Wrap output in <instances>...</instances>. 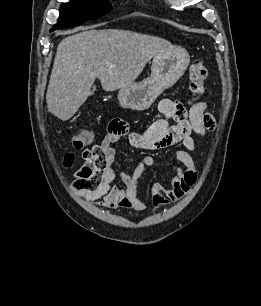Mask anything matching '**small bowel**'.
Masks as SVG:
<instances>
[{"mask_svg":"<svg viewBox=\"0 0 261 306\" xmlns=\"http://www.w3.org/2000/svg\"><path fill=\"white\" fill-rule=\"evenodd\" d=\"M159 112L160 118L140 132H131L128 124L122 120H113L109 124L108 132L100 145L106 154L105 166L98 169L89 158L83 157L85 163L77 171L94 185L91 189L82 190L87 201L101 200L99 206L109 210L126 208L141 212L146 209L145 203L137 194L138 184L144 171L153 166L155 160L150 155L142 157L132 173H120V182H117L113 167L116 149L112 145L123 137L128 138L132 147L141 150L165 149L177 144L183 147L173 150L183 168H176L170 187L166 188L160 183H154L151 187V198L155 206L178 202L189 192L196 181V144L193 134L204 137L208 131L214 129L215 120L207 111L204 101L192 104L187 110L179 101L163 99L159 103ZM170 121L175 124L171 125Z\"/></svg>","mask_w":261,"mask_h":306,"instance_id":"1","label":"small bowel"}]
</instances>
